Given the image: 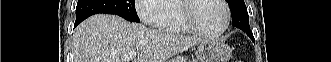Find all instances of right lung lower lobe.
Masks as SVG:
<instances>
[{
	"label": "right lung lower lobe",
	"mask_w": 331,
	"mask_h": 62,
	"mask_svg": "<svg viewBox=\"0 0 331 62\" xmlns=\"http://www.w3.org/2000/svg\"><path fill=\"white\" fill-rule=\"evenodd\" d=\"M79 23L75 22V26H77Z\"/></svg>",
	"instance_id": "right-lung-lower-lobe-1"
}]
</instances>
